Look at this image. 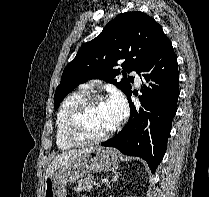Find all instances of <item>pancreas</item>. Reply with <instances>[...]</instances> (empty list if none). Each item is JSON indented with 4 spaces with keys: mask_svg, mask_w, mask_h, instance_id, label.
<instances>
[{
    "mask_svg": "<svg viewBox=\"0 0 209 197\" xmlns=\"http://www.w3.org/2000/svg\"><path fill=\"white\" fill-rule=\"evenodd\" d=\"M100 185L96 183V179L90 176H87L85 178L80 179L77 182V186L74 188V191L76 192H90L93 188H98Z\"/></svg>",
    "mask_w": 209,
    "mask_h": 197,
    "instance_id": "cf45deb5",
    "label": "pancreas"
}]
</instances>
